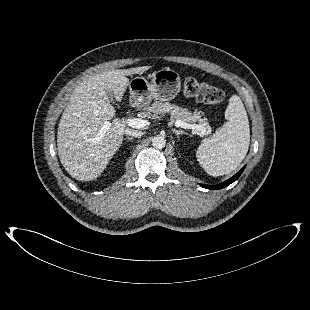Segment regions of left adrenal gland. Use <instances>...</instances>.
Masks as SVG:
<instances>
[{"label": "left adrenal gland", "instance_id": "1", "mask_svg": "<svg viewBox=\"0 0 310 310\" xmlns=\"http://www.w3.org/2000/svg\"><path fill=\"white\" fill-rule=\"evenodd\" d=\"M172 131H173V132L177 135V137H178V138H179V135H183V134L188 135V133H187V132L182 131V130H176V129H173Z\"/></svg>", "mask_w": 310, "mask_h": 310}]
</instances>
